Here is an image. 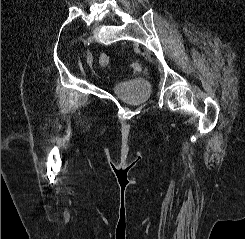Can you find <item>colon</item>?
<instances>
[{
  "label": "colon",
  "mask_w": 245,
  "mask_h": 239,
  "mask_svg": "<svg viewBox=\"0 0 245 239\" xmlns=\"http://www.w3.org/2000/svg\"><path fill=\"white\" fill-rule=\"evenodd\" d=\"M99 63L103 67H107L110 63V57L107 54H101L99 56Z\"/></svg>",
  "instance_id": "colon-1"
}]
</instances>
